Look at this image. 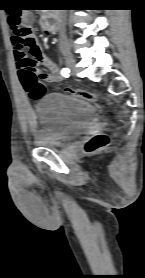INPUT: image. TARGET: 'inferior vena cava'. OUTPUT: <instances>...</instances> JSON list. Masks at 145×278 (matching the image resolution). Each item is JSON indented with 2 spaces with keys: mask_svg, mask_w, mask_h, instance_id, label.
<instances>
[{
  "mask_svg": "<svg viewBox=\"0 0 145 278\" xmlns=\"http://www.w3.org/2000/svg\"><path fill=\"white\" fill-rule=\"evenodd\" d=\"M67 38H66V34H65V27L63 26L60 30V43L64 44L66 43Z\"/></svg>",
  "mask_w": 145,
  "mask_h": 278,
  "instance_id": "602c4592",
  "label": "inferior vena cava"
}]
</instances>
